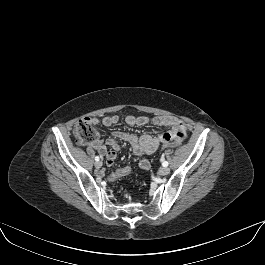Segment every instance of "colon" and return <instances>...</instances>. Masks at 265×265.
<instances>
[{
  "mask_svg": "<svg viewBox=\"0 0 265 265\" xmlns=\"http://www.w3.org/2000/svg\"><path fill=\"white\" fill-rule=\"evenodd\" d=\"M76 141L81 145L93 144L99 139V134L92 126L89 119H81L75 125L73 129ZM180 144L177 140H167L161 147L162 148H175ZM132 169L128 166L117 169L108 176L110 182H114L124 176L130 175Z\"/></svg>",
  "mask_w": 265,
  "mask_h": 265,
  "instance_id": "colon-1",
  "label": "colon"
}]
</instances>
